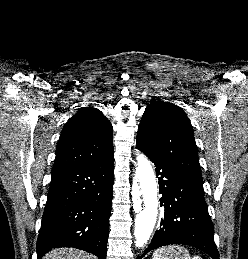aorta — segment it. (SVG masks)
<instances>
[{"label": "aorta", "instance_id": "aorta-1", "mask_svg": "<svg viewBox=\"0 0 248 259\" xmlns=\"http://www.w3.org/2000/svg\"><path fill=\"white\" fill-rule=\"evenodd\" d=\"M137 161L132 183V203L136 213L135 244L142 248L148 243L157 221L158 187L150 161L140 153H137Z\"/></svg>", "mask_w": 248, "mask_h": 259}]
</instances>
